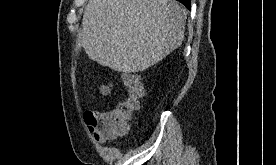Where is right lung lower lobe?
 <instances>
[{
    "mask_svg": "<svg viewBox=\"0 0 276 165\" xmlns=\"http://www.w3.org/2000/svg\"><path fill=\"white\" fill-rule=\"evenodd\" d=\"M177 1L181 2L182 4H184L188 9L191 8L190 0H177Z\"/></svg>",
    "mask_w": 276,
    "mask_h": 165,
    "instance_id": "right-lung-lower-lobe-1",
    "label": "right lung lower lobe"
}]
</instances>
